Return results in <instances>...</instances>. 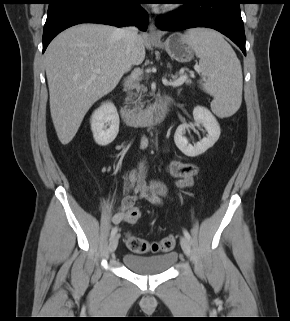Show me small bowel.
Masks as SVG:
<instances>
[{
  "label": "small bowel",
  "instance_id": "small-bowel-1",
  "mask_svg": "<svg viewBox=\"0 0 290 321\" xmlns=\"http://www.w3.org/2000/svg\"><path fill=\"white\" fill-rule=\"evenodd\" d=\"M168 173L177 180V184L181 187L192 184L194 177L199 172V167L193 163H186L180 160H173L167 166ZM167 189L161 182L146 181V165L142 161L138 167L136 184L132 193H127L119 206L114 221H129V210L139 198L145 199L155 206L162 204Z\"/></svg>",
  "mask_w": 290,
  "mask_h": 321
}]
</instances>
